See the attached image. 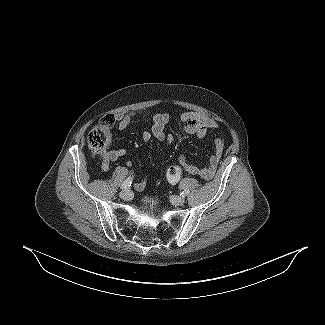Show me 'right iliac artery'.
<instances>
[{
	"instance_id": "1",
	"label": "right iliac artery",
	"mask_w": 325,
	"mask_h": 325,
	"mask_svg": "<svg viewBox=\"0 0 325 325\" xmlns=\"http://www.w3.org/2000/svg\"><path fill=\"white\" fill-rule=\"evenodd\" d=\"M131 184H132V178L129 177L122 183L121 189L125 190V189L129 188L131 186Z\"/></svg>"
}]
</instances>
